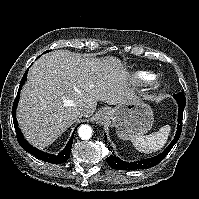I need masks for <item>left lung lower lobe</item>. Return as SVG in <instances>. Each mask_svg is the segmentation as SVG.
I'll list each match as a JSON object with an SVG mask.
<instances>
[{
    "instance_id": "0a47b994",
    "label": "left lung lower lobe",
    "mask_w": 199,
    "mask_h": 199,
    "mask_svg": "<svg viewBox=\"0 0 199 199\" xmlns=\"http://www.w3.org/2000/svg\"><path fill=\"white\" fill-rule=\"evenodd\" d=\"M174 98L178 103L179 110H178L177 131H176V135H175L173 141L171 142V144L159 155L152 157V158L143 159L140 161H135V162L122 161L118 157H116L113 153L112 155H110L106 158V161L110 165V167H112L113 169H116V170H126V171L147 169V168H151V167L157 165L158 163H160L162 161V159H164V157L169 153V151L172 149L174 144L178 141V139L181 135V132H182L181 124H182V119H183V111L185 108V96L183 95V93H178V94L174 95ZM104 136H105L104 140H107V137L105 134H104ZM108 149L110 151L111 147L108 146Z\"/></svg>"
}]
</instances>
